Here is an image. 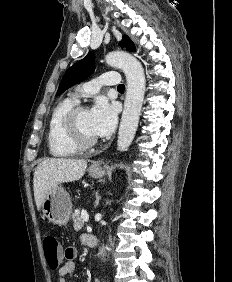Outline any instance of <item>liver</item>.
<instances>
[{"label": "liver", "mask_w": 232, "mask_h": 282, "mask_svg": "<svg viewBox=\"0 0 232 282\" xmlns=\"http://www.w3.org/2000/svg\"><path fill=\"white\" fill-rule=\"evenodd\" d=\"M87 162L83 159L49 158L35 169L34 197L40 210L46 195L60 183L79 180L85 174Z\"/></svg>", "instance_id": "obj_1"}]
</instances>
